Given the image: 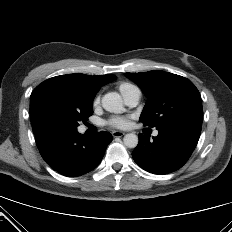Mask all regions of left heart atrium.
<instances>
[{"label":"left heart atrium","mask_w":232,"mask_h":232,"mask_svg":"<svg viewBox=\"0 0 232 232\" xmlns=\"http://www.w3.org/2000/svg\"><path fill=\"white\" fill-rule=\"evenodd\" d=\"M107 124L115 128H126L129 124V120L125 117H113Z\"/></svg>","instance_id":"1"}]
</instances>
